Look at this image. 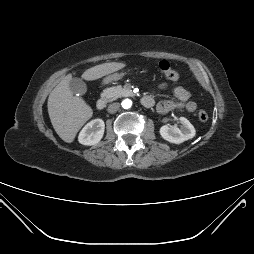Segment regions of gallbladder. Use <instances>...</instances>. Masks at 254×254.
I'll list each match as a JSON object with an SVG mask.
<instances>
[{"mask_svg": "<svg viewBox=\"0 0 254 254\" xmlns=\"http://www.w3.org/2000/svg\"><path fill=\"white\" fill-rule=\"evenodd\" d=\"M70 90L73 92V94L77 95H83L87 91V86L84 83V81L80 78H71L69 82Z\"/></svg>", "mask_w": 254, "mask_h": 254, "instance_id": "bac80fb5", "label": "gallbladder"}]
</instances>
